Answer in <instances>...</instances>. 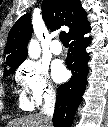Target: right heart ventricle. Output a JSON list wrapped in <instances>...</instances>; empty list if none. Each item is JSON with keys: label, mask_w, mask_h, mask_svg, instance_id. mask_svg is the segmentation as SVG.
<instances>
[{"label": "right heart ventricle", "mask_w": 108, "mask_h": 127, "mask_svg": "<svg viewBox=\"0 0 108 127\" xmlns=\"http://www.w3.org/2000/svg\"><path fill=\"white\" fill-rule=\"evenodd\" d=\"M20 103H21V106H22L24 109L29 110V109H31V107H32V105H31L26 99H24V98L21 99Z\"/></svg>", "instance_id": "1"}]
</instances>
